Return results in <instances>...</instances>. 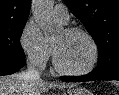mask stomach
<instances>
[{
	"label": "stomach",
	"mask_w": 119,
	"mask_h": 95,
	"mask_svg": "<svg viewBox=\"0 0 119 95\" xmlns=\"http://www.w3.org/2000/svg\"><path fill=\"white\" fill-rule=\"evenodd\" d=\"M64 95H93V93L84 88H75L68 90Z\"/></svg>",
	"instance_id": "obj_1"
}]
</instances>
